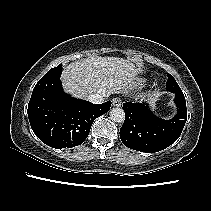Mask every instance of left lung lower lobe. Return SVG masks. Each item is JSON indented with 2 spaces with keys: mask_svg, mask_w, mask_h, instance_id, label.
<instances>
[{
  "mask_svg": "<svg viewBox=\"0 0 211 211\" xmlns=\"http://www.w3.org/2000/svg\"><path fill=\"white\" fill-rule=\"evenodd\" d=\"M177 114L170 120L154 115L146 103L123 104L125 121L120 129L123 144L141 152L154 153L173 144L180 136L187 120L186 101L183 92L175 90Z\"/></svg>",
  "mask_w": 211,
  "mask_h": 211,
  "instance_id": "0a47b994",
  "label": "left lung lower lobe"
}]
</instances>
